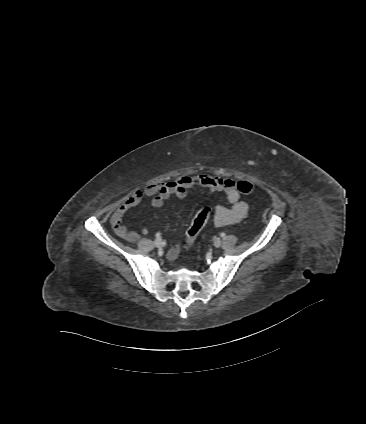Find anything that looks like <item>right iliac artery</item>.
Segmentation results:
<instances>
[{
    "label": "right iliac artery",
    "mask_w": 366,
    "mask_h": 424,
    "mask_svg": "<svg viewBox=\"0 0 366 424\" xmlns=\"http://www.w3.org/2000/svg\"><path fill=\"white\" fill-rule=\"evenodd\" d=\"M156 237L159 238L160 237V234H156Z\"/></svg>",
    "instance_id": "obj_1"
}]
</instances>
